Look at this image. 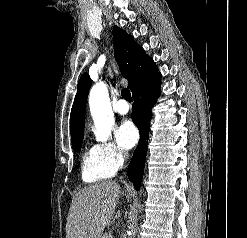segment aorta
<instances>
[{"mask_svg":"<svg viewBox=\"0 0 247 238\" xmlns=\"http://www.w3.org/2000/svg\"><path fill=\"white\" fill-rule=\"evenodd\" d=\"M89 106L95 124L96 140L105 142L111 136L115 122L108 90L104 83L100 82L92 87L89 95Z\"/></svg>","mask_w":247,"mask_h":238,"instance_id":"aorta-1","label":"aorta"}]
</instances>
